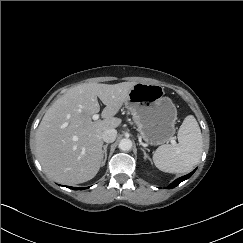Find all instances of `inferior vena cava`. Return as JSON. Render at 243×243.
<instances>
[{"label":"inferior vena cava","instance_id":"1","mask_svg":"<svg viewBox=\"0 0 243 243\" xmlns=\"http://www.w3.org/2000/svg\"><path fill=\"white\" fill-rule=\"evenodd\" d=\"M117 136V131L115 129H107L102 134V139L106 143H112L115 141Z\"/></svg>","mask_w":243,"mask_h":243}]
</instances>
